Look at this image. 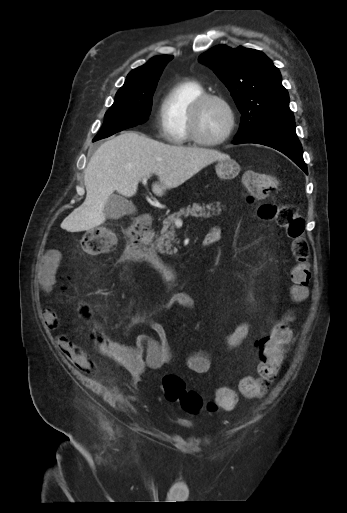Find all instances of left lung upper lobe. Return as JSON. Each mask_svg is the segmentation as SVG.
<instances>
[{
	"label": "left lung upper lobe",
	"instance_id": "obj_1",
	"mask_svg": "<svg viewBox=\"0 0 347 513\" xmlns=\"http://www.w3.org/2000/svg\"><path fill=\"white\" fill-rule=\"evenodd\" d=\"M199 60L226 85L242 114L235 139L270 123L295 121L280 71L264 53L219 45L203 53Z\"/></svg>",
	"mask_w": 347,
	"mask_h": 513
}]
</instances>
